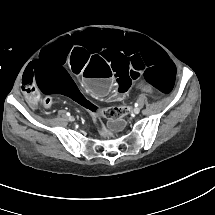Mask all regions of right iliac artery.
I'll use <instances>...</instances> for the list:
<instances>
[{
  "label": "right iliac artery",
  "mask_w": 215,
  "mask_h": 215,
  "mask_svg": "<svg viewBox=\"0 0 215 215\" xmlns=\"http://www.w3.org/2000/svg\"><path fill=\"white\" fill-rule=\"evenodd\" d=\"M66 115H67V116H70V113H69V112H67V113H66Z\"/></svg>",
  "instance_id": "82829eb1"
}]
</instances>
